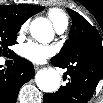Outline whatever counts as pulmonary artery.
I'll use <instances>...</instances> for the list:
<instances>
[{
  "label": "pulmonary artery",
  "instance_id": "pulmonary-artery-1",
  "mask_svg": "<svg viewBox=\"0 0 103 103\" xmlns=\"http://www.w3.org/2000/svg\"><path fill=\"white\" fill-rule=\"evenodd\" d=\"M67 26L60 27L57 30L58 33H63Z\"/></svg>",
  "mask_w": 103,
  "mask_h": 103
}]
</instances>
